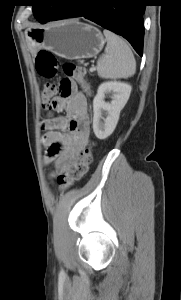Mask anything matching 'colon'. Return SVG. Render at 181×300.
Returning a JSON list of instances; mask_svg holds the SVG:
<instances>
[{"mask_svg": "<svg viewBox=\"0 0 181 300\" xmlns=\"http://www.w3.org/2000/svg\"><path fill=\"white\" fill-rule=\"evenodd\" d=\"M59 60L50 51L41 50L36 58V69L44 79L54 78L59 70ZM64 74L71 80L80 84L89 93L90 89L85 82L86 70L74 63L67 62L62 65ZM58 93V86L55 83H47L42 92V108L52 109V98ZM92 162V145L86 147L80 157L65 170L58 173L56 181L61 191L69 189L75 182L79 181L87 173Z\"/></svg>", "mask_w": 181, "mask_h": 300, "instance_id": "5ec220e1", "label": "colon"}]
</instances>
